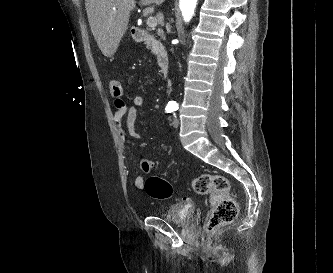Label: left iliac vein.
Returning a JSON list of instances; mask_svg holds the SVG:
<instances>
[{
  "instance_id": "obj_1",
  "label": "left iliac vein",
  "mask_w": 333,
  "mask_h": 273,
  "mask_svg": "<svg viewBox=\"0 0 333 273\" xmlns=\"http://www.w3.org/2000/svg\"><path fill=\"white\" fill-rule=\"evenodd\" d=\"M172 125L177 128L179 126V120L177 118H175L172 122Z\"/></svg>"
}]
</instances>
